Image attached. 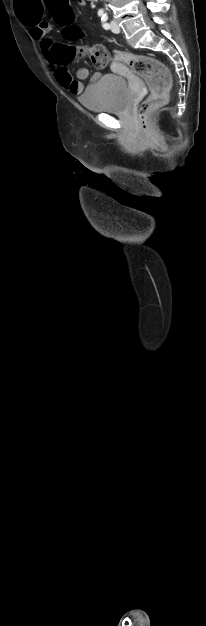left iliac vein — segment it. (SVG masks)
Wrapping results in <instances>:
<instances>
[{"instance_id":"obj_1","label":"left iliac vein","mask_w":206,"mask_h":626,"mask_svg":"<svg viewBox=\"0 0 206 626\" xmlns=\"http://www.w3.org/2000/svg\"><path fill=\"white\" fill-rule=\"evenodd\" d=\"M110 26H111V30L114 33H119L120 32V27L118 25V23L115 20H112L110 22Z\"/></svg>"}]
</instances>
